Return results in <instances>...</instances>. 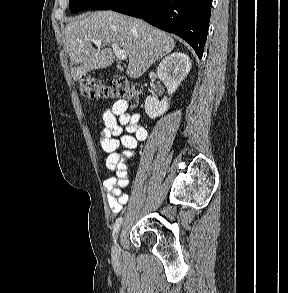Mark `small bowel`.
<instances>
[{
  "label": "small bowel",
  "mask_w": 288,
  "mask_h": 293,
  "mask_svg": "<svg viewBox=\"0 0 288 293\" xmlns=\"http://www.w3.org/2000/svg\"><path fill=\"white\" fill-rule=\"evenodd\" d=\"M147 136L146 128L140 123V115L130 114L126 101L119 100L104 112L100 145L108 155L106 166L114 175L103 182V187L114 214L128 202V196L123 192L128 184L127 169L138 142L146 140ZM120 146L124 148L121 153L117 152Z\"/></svg>",
  "instance_id": "small-bowel-1"
}]
</instances>
